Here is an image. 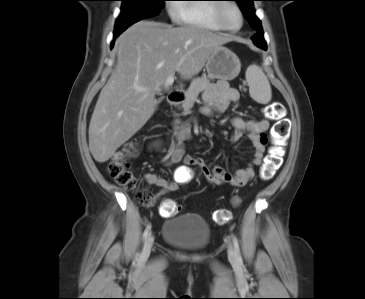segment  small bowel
Wrapping results in <instances>:
<instances>
[{"label":"small bowel","instance_id":"c3829d8e","mask_svg":"<svg viewBox=\"0 0 365 299\" xmlns=\"http://www.w3.org/2000/svg\"><path fill=\"white\" fill-rule=\"evenodd\" d=\"M239 99V92L229 87L225 82L212 84L204 93V106L201 113L210 116L214 113L225 111L228 106ZM234 132L232 141H238L243 135H247L252 142L255 152L249 166L239 169L234 173L226 171L219 165H208L201 158L185 155V143L191 137V127L188 121L175 122V144L171 149L167 165H175L183 163L173 179H167L155 173L146 174V181L158 186L160 190L155 194L157 198L162 197L166 193L174 192L179 189L184 178L189 176L193 167H198L203 176L214 185L228 184L233 187H243L255 176V167L259 166L264 158L266 151L267 137L266 131L269 128L267 119H244L236 116L232 119ZM236 199V198H235Z\"/></svg>","mask_w":365,"mask_h":299}]
</instances>
